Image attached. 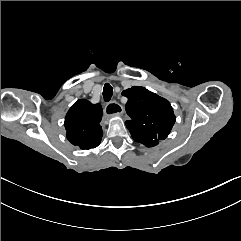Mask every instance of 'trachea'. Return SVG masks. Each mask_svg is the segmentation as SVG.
<instances>
[{
	"mask_svg": "<svg viewBox=\"0 0 241 241\" xmlns=\"http://www.w3.org/2000/svg\"><path fill=\"white\" fill-rule=\"evenodd\" d=\"M113 95V89L112 86L109 84H105L103 88V99L105 102H109L111 100V97Z\"/></svg>",
	"mask_w": 241,
	"mask_h": 241,
	"instance_id": "trachea-1",
	"label": "trachea"
}]
</instances>
